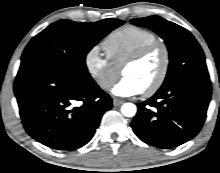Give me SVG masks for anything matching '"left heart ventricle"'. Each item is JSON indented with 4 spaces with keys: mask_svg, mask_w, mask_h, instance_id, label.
Wrapping results in <instances>:
<instances>
[{
    "mask_svg": "<svg viewBox=\"0 0 220 173\" xmlns=\"http://www.w3.org/2000/svg\"><path fill=\"white\" fill-rule=\"evenodd\" d=\"M163 64V53L156 50L143 61L124 69L123 75L138 82L143 91L149 88L158 77Z\"/></svg>",
    "mask_w": 220,
    "mask_h": 173,
    "instance_id": "obj_1",
    "label": "left heart ventricle"
}]
</instances>
